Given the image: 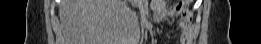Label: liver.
Instances as JSON below:
<instances>
[{"label":"liver","instance_id":"obj_1","mask_svg":"<svg viewBox=\"0 0 261 44\" xmlns=\"http://www.w3.org/2000/svg\"><path fill=\"white\" fill-rule=\"evenodd\" d=\"M132 8L121 0H62L59 6L63 33L70 44H135L139 25ZM117 42V43H116Z\"/></svg>","mask_w":261,"mask_h":44}]
</instances>
